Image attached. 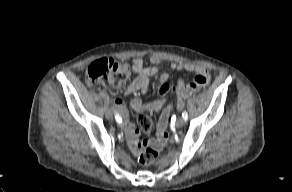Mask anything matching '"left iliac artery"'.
I'll return each instance as SVG.
<instances>
[{"instance_id": "44dca946", "label": "left iliac artery", "mask_w": 292, "mask_h": 192, "mask_svg": "<svg viewBox=\"0 0 292 192\" xmlns=\"http://www.w3.org/2000/svg\"><path fill=\"white\" fill-rule=\"evenodd\" d=\"M182 117L185 121L188 119V114L186 111L182 112Z\"/></svg>"}]
</instances>
